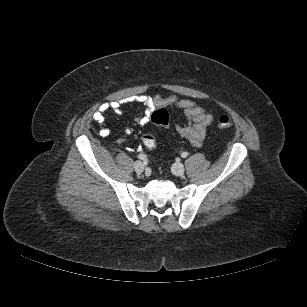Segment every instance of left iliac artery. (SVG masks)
Wrapping results in <instances>:
<instances>
[{
    "instance_id": "obj_1",
    "label": "left iliac artery",
    "mask_w": 307,
    "mask_h": 307,
    "mask_svg": "<svg viewBox=\"0 0 307 307\" xmlns=\"http://www.w3.org/2000/svg\"><path fill=\"white\" fill-rule=\"evenodd\" d=\"M188 156V152H183L182 154H181V157L182 158H186Z\"/></svg>"
}]
</instances>
